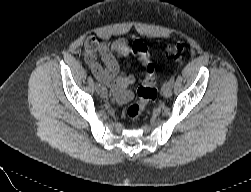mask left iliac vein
<instances>
[{"mask_svg": "<svg viewBox=\"0 0 251 192\" xmlns=\"http://www.w3.org/2000/svg\"><path fill=\"white\" fill-rule=\"evenodd\" d=\"M162 94L165 98H169L172 95V85L169 82L164 83L162 87Z\"/></svg>", "mask_w": 251, "mask_h": 192, "instance_id": "obj_1", "label": "left iliac vein"}]
</instances>
